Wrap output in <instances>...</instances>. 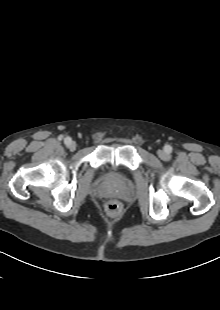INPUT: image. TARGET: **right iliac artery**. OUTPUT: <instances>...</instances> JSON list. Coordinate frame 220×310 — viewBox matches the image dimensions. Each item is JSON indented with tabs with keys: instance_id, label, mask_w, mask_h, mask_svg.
I'll return each instance as SVG.
<instances>
[{
	"instance_id": "82829eb1",
	"label": "right iliac artery",
	"mask_w": 220,
	"mask_h": 310,
	"mask_svg": "<svg viewBox=\"0 0 220 310\" xmlns=\"http://www.w3.org/2000/svg\"><path fill=\"white\" fill-rule=\"evenodd\" d=\"M65 144H69L71 142V138L70 137H66L64 139Z\"/></svg>"
}]
</instances>
